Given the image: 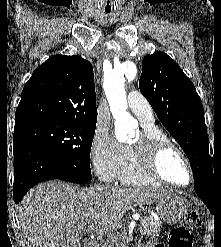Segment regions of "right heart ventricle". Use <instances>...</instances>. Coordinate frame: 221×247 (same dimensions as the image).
I'll use <instances>...</instances> for the list:
<instances>
[{
	"mask_svg": "<svg viewBox=\"0 0 221 247\" xmlns=\"http://www.w3.org/2000/svg\"><path fill=\"white\" fill-rule=\"evenodd\" d=\"M145 131L153 136L167 138L155 126H145ZM118 180L121 184L128 186L160 185L159 182L151 178L143 170L139 160L129 146H123L122 163L119 169Z\"/></svg>",
	"mask_w": 221,
	"mask_h": 247,
	"instance_id": "1",
	"label": "right heart ventricle"
}]
</instances>
